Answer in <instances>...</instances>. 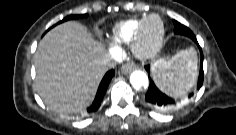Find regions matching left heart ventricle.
<instances>
[{
  "label": "left heart ventricle",
  "mask_w": 236,
  "mask_h": 135,
  "mask_svg": "<svg viewBox=\"0 0 236 135\" xmlns=\"http://www.w3.org/2000/svg\"><path fill=\"white\" fill-rule=\"evenodd\" d=\"M159 23L156 19L151 20L146 29V40L148 42L153 41L159 34Z\"/></svg>",
  "instance_id": "1"
}]
</instances>
